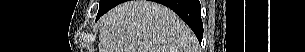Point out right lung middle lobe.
<instances>
[{
    "label": "right lung middle lobe",
    "instance_id": "right-lung-middle-lobe-1",
    "mask_svg": "<svg viewBox=\"0 0 305 52\" xmlns=\"http://www.w3.org/2000/svg\"><path fill=\"white\" fill-rule=\"evenodd\" d=\"M108 2H109V0H100L99 10H101L103 7H105Z\"/></svg>",
    "mask_w": 305,
    "mask_h": 52
}]
</instances>
